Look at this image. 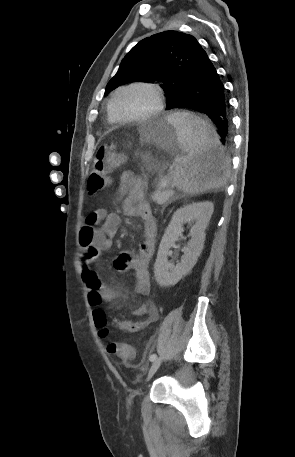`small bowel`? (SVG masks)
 <instances>
[{
  "label": "small bowel",
  "instance_id": "small-bowel-1",
  "mask_svg": "<svg viewBox=\"0 0 295 457\" xmlns=\"http://www.w3.org/2000/svg\"><path fill=\"white\" fill-rule=\"evenodd\" d=\"M117 194L125 196V213L142 220L143 240L137 254L123 251L113 260V266L119 272L132 271L135 293L138 296H145L150 292L148 264L155 249L157 224L151 207L144 197L143 184L134 173L124 171L121 174ZM120 226L121 218L117 213L99 209L87 216L86 225L80 230L81 278L93 305L101 301L111 303L119 297L112 288L101 281L94 269V264L102 252L111 248L113 238ZM133 314L139 318L137 321L123 320L109 315L107 320L108 323L123 331L135 333L155 323L159 318V310L153 301L143 303Z\"/></svg>",
  "mask_w": 295,
  "mask_h": 457
}]
</instances>
